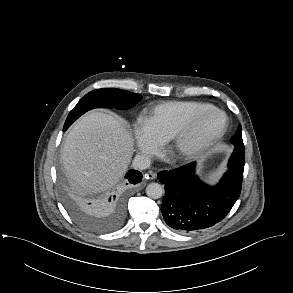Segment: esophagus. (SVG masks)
Segmentation results:
<instances>
[{
  "label": "esophagus",
  "mask_w": 293,
  "mask_h": 293,
  "mask_svg": "<svg viewBox=\"0 0 293 293\" xmlns=\"http://www.w3.org/2000/svg\"><path fill=\"white\" fill-rule=\"evenodd\" d=\"M145 179L154 180L156 179L157 175L154 172H149L144 175Z\"/></svg>",
  "instance_id": "34e87169"
}]
</instances>
